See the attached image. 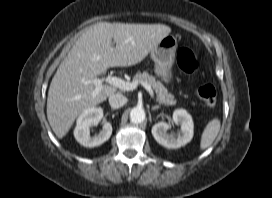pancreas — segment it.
Returning a JSON list of instances; mask_svg holds the SVG:
<instances>
[{
    "instance_id": "pancreas-1",
    "label": "pancreas",
    "mask_w": 272,
    "mask_h": 198,
    "mask_svg": "<svg viewBox=\"0 0 272 198\" xmlns=\"http://www.w3.org/2000/svg\"><path fill=\"white\" fill-rule=\"evenodd\" d=\"M133 81L138 82V84H141L142 82L149 84L155 90L159 104L164 106H172L176 104L177 101L174 96L168 92L161 82L156 81L155 77L150 75L148 72L136 73L133 77Z\"/></svg>"
}]
</instances>
